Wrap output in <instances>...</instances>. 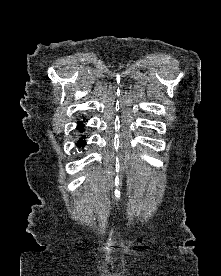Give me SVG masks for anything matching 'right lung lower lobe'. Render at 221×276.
<instances>
[{"instance_id": "98d812e1", "label": "right lung lower lobe", "mask_w": 221, "mask_h": 276, "mask_svg": "<svg viewBox=\"0 0 221 276\" xmlns=\"http://www.w3.org/2000/svg\"><path fill=\"white\" fill-rule=\"evenodd\" d=\"M77 130L79 132H84V125L82 121H78ZM85 137H86L85 135H82L78 140L77 146L79 148H83L85 146V140H84Z\"/></svg>"}]
</instances>
